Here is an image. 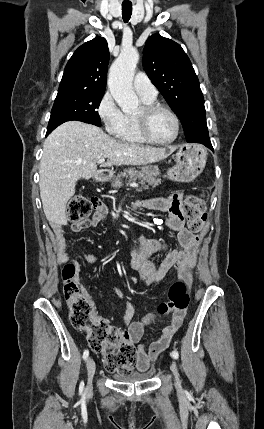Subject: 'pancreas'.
<instances>
[{
	"label": "pancreas",
	"mask_w": 264,
	"mask_h": 429,
	"mask_svg": "<svg viewBox=\"0 0 264 429\" xmlns=\"http://www.w3.org/2000/svg\"><path fill=\"white\" fill-rule=\"evenodd\" d=\"M121 177L128 178L130 182L138 181L141 184L140 190L149 189L151 186L155 188L161 183V178L148 177L134 170H124L117 175L116 179L120 180Z\"/></svg>",
	"instance_id": "1"
}]
</instances>
